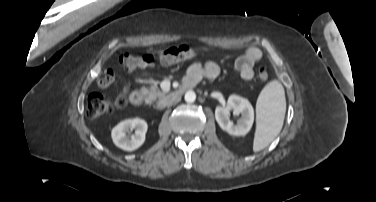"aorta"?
<instances>
[{
    "label": "aorta",
    "instance_id": "aorta-1",
    "mask_svg": "<svg viewBox=\"0 0 376 202\" xmlns=\"http://www.w3.org/2000/svg\"><path fill=\"white\" fill-rule=\"evenodd\" d=\"M185 101L188 102V103H192L196 100V94L194 91L192 90H189L185 93V97H184Z\"/></svg>",
    "mask_w": 376,
    "mask_h": 202
}]
</instances>
